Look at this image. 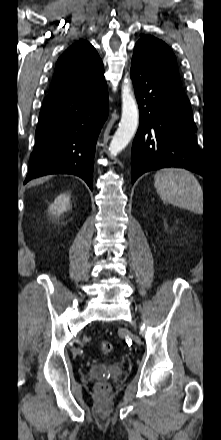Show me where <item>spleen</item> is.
<instances>
[{
    "instance_id": "1",
    "label": "spleen",
    "mask_w": 221,
    "mask_h": 440,
    "mask_svg": "<svg viewBox=\"0 0 221 440\" xmlns=\"http://www.w3.org/2000/svg\"><path fill=\"white\" fill-rule=\"evenodd\" d=\"M154 187L162 200L195 213L203 211V190L195 176L179 168L156 172Z\"/></svg>"
}]
</instances>
